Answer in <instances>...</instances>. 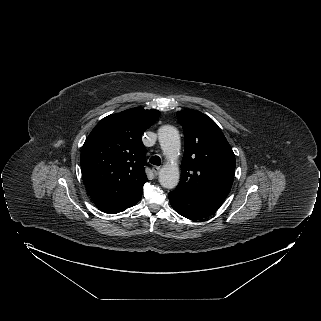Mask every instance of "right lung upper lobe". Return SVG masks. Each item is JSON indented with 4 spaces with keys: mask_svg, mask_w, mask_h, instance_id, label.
<instances>
[{
    "mask_svg": "<svg viewBox=\"0 0 321 321\" xmlns=\"http://www.w3.org/2000/svg\"><path fill=\"white\" fill-rule=\"evenodd\" d=\"M155 109L132 108L103 118L81 151V170L89 195L103 212L135 205L147 182L141 135L158 118Z\"/></svg>",
    "mask_w": 321,
    "mask_h": 321,
    "instance_id": "1",
    "label": "right lung upper lobe"
}]
</instances>
